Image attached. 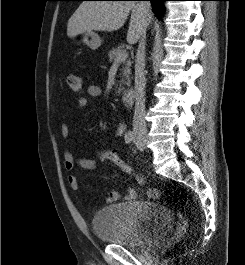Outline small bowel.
I'll list each match as a JSON object with an SVG mask.
<instances>
[{
  "mask_svg": "<svg viewBox=\"0 0 245 265\" xmlns=\"http://www.w3.org/2000/svg\"><path fill=\"white\" fill-rule=\"evenodd\" d=\"M86 94L88 97L90 98H97L100 97L102 95V89L100 86L95 85V84H91L89 86H87L86 88ZM87 98L83 97L79 100H77L76 103V108L77 109H83L87 106ZM123 132V128L120 126L117 131L116 134L120 135ZM61 136L63 139H68L70 136V126L66 123H63L61 125ZM64 165L67 171L72 172L74 171V169L78 166L81 169L85 170V171H92L96 168V162L91 159V158H87V157H80V158H76L70 151H65L64 153ZM69 187L72 190H78L80 188V182L79 179L76 175L74 174H70L67 178ZM138 181L140 183H143V178L142 177H138ZM160 193L158 190L156 189H152L150 191H148V197L152 198V199H157L159 197ZM138 197V193L137 191L132 188L129 187L127 188V195L125 196V199L128 200H135ZM121 199V194L117 189H113L109 192L107 198H106V202L107 203H114L116 201H119Z\"/></svg>",
  "mask_w": 245,
  "mask_h": 265,
  "instance_id": "small-bowel-1",
  "label": "small bowel"
}]
</instances>
